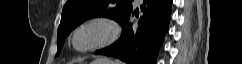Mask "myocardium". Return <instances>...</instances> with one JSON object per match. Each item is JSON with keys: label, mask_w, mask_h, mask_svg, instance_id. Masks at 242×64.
<instances>
[{"label": "myocardium", "mask_w": 242, "mask_h": 64, "mask_svg": "<svg viewBox=\"0 0 242 64\" xmlns=\"http://www.w3.org/2000/svg\"><path fill=\"white\" fill-rule=\"evenodd\" d=\"M99 29L102 31L101 35L94 41L84 46L77 45V38L86 30ZM120 29L118 25L105 17H94L84 20L78 24L70 35L71 47L80 53L89 52L93 50L102 49L113 44L119 37Z\"/></svg>", "instance_id": "myocardium-1"}]
</instances>
